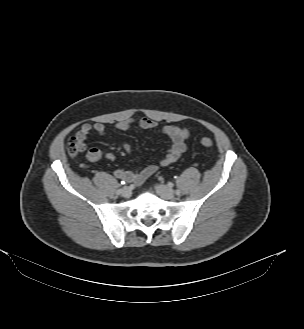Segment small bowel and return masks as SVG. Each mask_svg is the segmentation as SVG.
<instances>
[{
	"label": "small bowel",
	"instance_id": "c3829d8e",
	"mask_svg": "<svg viewBox=\"0 0 304 329\" xmlns=\"http://www.w3.org/2000/svg\"><path fill=\"white\" fill-rule=\"evenodd\" d=\"M135 123L141 129L152 130L157 128V124L149 118H141L137 122H135L132 119H125L118 122L116 124V128L120 131H127L131 129ZM92 131H95L99 135H104L106 133V127L102 123H95L93 125L87 123L83 124L74 136L81 146V151L85 149V140ZM161 131L171 141V146L167 154L160 161L161 165L167 166L175 162L179 158V156L184 152L186 147L185 141L189 137V131L187 129L172 124L163 126L161 128ZM124 149L128 153L131 152V146L128 143L124 145ZM86 156L90 162H97L104 158L110 160L114 158L112 154L104 153L98 148H90L87 151ZM156 170H157V165L149 164L145 167L136 170L117 169L115 170L114 175L118 179L140 184L144 182L152 174H154Z\"/></svg>",
	"mask_w": 304,
	"mask_h": 329
}]
</instances>
